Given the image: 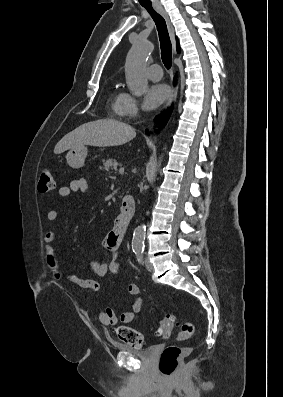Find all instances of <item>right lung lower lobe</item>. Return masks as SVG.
Segmentation results:
<instances>
[{
  "mask_svg": "<svg viewBox=\"0 0 283 397\" xmlns=\"http://www.w3.org/2000/svg\"><path fill=\"white\" fill-rule=\"evenodd\" d=\"M171 111H172V109L170 108V109L168 110V113H167V114L158 117L157 120H158L159 122H161L162 124H164V123L167 121V119L169 118V116H170V114H171ZM146 133L148 134V131H147V130H146Z\"/></svg>",
  "mask_w": 283,
  "mask_h": 397,
  "instance_id": "obj_1",
  "label": "right lung lower lobe"
}]
</instances>
